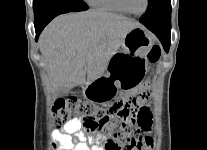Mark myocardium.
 <instances>
[{
  "mask_svg": "<svg viewBox=\"0 0 207 150\" xmlns=\"http://www.w3.org/2000/svg\"><path fill=\"white\" fill-rule=\"evenodd\" d=\"M120 2H121L122 6L125 8V10L128 13L133 14L135 16H140V15L144 14L147 11L148 7H149V0H145V7H144L143 11H141V12H134V11H132L130 9L127 0H120Z\"/></svg>",
  "mask_w": 207,
  "mask_h": 150,
  "instance_id": "obj_1",
  "label": "myocardium"
}]
</instances>
